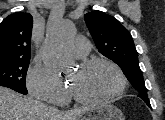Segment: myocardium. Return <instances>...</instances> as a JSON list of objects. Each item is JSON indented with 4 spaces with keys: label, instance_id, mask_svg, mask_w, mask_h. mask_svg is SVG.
I'll return each instance as SVG.
<instances>
[{
    "label": "myocardium",
    "instance_id": "obj_1",
    "mask_svg": "<svg viewBox=\"0 0 165 120\" xmlns=\"http://www.w3.org/2000/svg\"><path fill=\"white\" fill-rule=\"evenodd\" d=\"M107 65L109 67H111L115 73L118 76V80H119V85L118 88L111 93L110 95H107L105 97H101V98H97V99H88V98H84L81 95H79L77 93V91L73 88V87H69L70 89V93L72 95V97L74 98L75 101H77L78 103L81 104H85V105H97V104H102V103H106V102H110L116 98H118L119 96H121L125 89H126V85H127V80L125 77L124 72L122 71V69L120 68V66L118 64H116L115 62H113L112 60L106 59V58H92V59H88L83 61L80 64V69L85 70L88 69L90 67L96 66V65Z\"/></svg>",
    "mask_w": 165,
    "mask_h": 120
}]
</instances>
